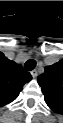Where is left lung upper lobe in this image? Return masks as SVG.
I'll return each mask as SVG.
<instances>
[{"label": "left lung upper lobe", "mask_w": 63, "mask_h": 123, "mask_svg": "<svg viewBox=\"0 0 63 123\" xmlns=\"http://www.w3.org/2000/svg\"><path fill=\"white\" fill-rule=\"evenodd\" d=\"M47 105L55 112H61L63 107V67L60 62L46 66L38 77Z\"/></svg>", "instance_id": "obj_1"}]
</instances>
